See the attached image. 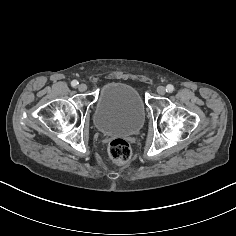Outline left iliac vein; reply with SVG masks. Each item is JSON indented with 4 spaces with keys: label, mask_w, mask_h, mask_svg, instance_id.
<instances>
[{
    "label": "left iliac vein",
    "mask_w": 236,
    "mask_h": 236,
    "mask_svg": "<svg viewBox=\"0 0 236 236\" xmlns=\"http://www.w3.org/2000/svg\"><path fill=\"white\" fill-rule=\"evenodd\" d=\"M165 92H166V89H165L164 86H158V87H157V93H158L159 95H164Z\"/></svg>",
    "instance_id": "4c4485c4"
}]
</instances>
